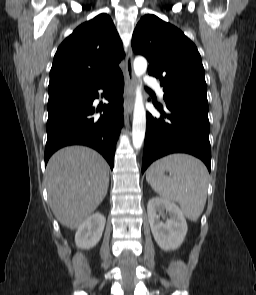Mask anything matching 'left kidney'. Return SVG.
I'll return each instance as SVG.
<instances>
[{"label": "left kidney", "instance_id": "5707ae66", "mask_svg": "<svg viewBox=\"0 0 256 295\" xmlns=\"http://www.w3.org/2000/svg\"><path fill=\"white\" fill-rule=\"evenodd\" d=\"M169 214L165 222L160 220L164 212ZM147 213L153 237L165 251L178 249L184 241L188 227L181 209L170 200L153 197L147 205Z\"/></svg>", "mask_w": 256, "mask_h": 295}]
</instances>
